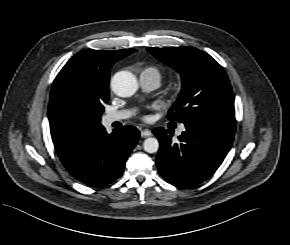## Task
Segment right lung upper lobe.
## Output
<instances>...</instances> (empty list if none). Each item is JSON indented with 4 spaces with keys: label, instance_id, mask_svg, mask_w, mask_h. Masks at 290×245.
<instances>
[{
    "label": "right lung upper lobe",
    "instance_id": "cb5924a9",
    "mask_svg": "<svg viewBox=\"0 0 290 245\" xmlns=\"http://www.w3.org/2000/svg\"><path fill=\"white\" fill-rule=\"evenodd\" d=\"M127 50L87 49L75 54L61 69L50 93L48 117L52 141L58 156L70 152L102 125L68 92V84L75 77L104 78L112 65L135 52ZM110 77V76H109Z\"/></svg>",
    "mask_w": 290,
    "mask_h": 245
}]
</instances>
